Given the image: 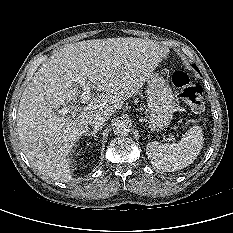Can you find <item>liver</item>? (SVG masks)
Wrapping results in <instances>:
<instances>
[{
	"instance_id": "6515ba94",
	"label": "liver",
	"mask_w": 233,
	"mask_h": 233,
	"mask_svg": "<svg viewBox=\"0 0 233 233\" xmlns=\"http://www.w3.org/2000/svg\"><path fill=\"white\" fill-rule=\"evenodd\" d=\"M167 52L157 42L125 37L81 41L54 53L25 88L18 107L17 131L29 162L42 176L70 181L72 148L88 132L89 116L101 112L108 118L121 109ZM78 76L97 96L62 115L59 110L77 102Z\"/></svg>"
}]
</instances>
